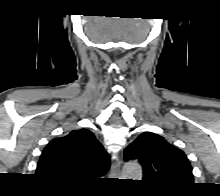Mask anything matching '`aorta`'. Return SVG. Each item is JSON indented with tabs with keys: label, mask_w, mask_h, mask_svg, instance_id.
I'll list each match as a JSON object with an SVG mask.
<instances>
[{
	"label": "aorta",
	"mask_w": 220,
	"mask_h": 196,
	"mask_svg": "<svg viewBox=\"0 0 220 196\" xmlns=\"http://www.w3.org/2000/svg\"><path fill=\"white\" fill-rule=\"evenodd\" d=\"M122 179L140 180L142 178V168L134 161H130L124 164L122 170Z\"/></svg>",
	"instance_id": "1"
}]
</instances>
